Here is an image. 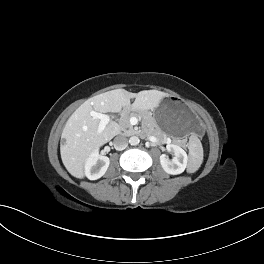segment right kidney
Here are the masks:
<instances>
[{"mask_svg":"<svg viewBox=\"0 0 264 264\" xmlns=\"http://www.w3.org/2000/svg\"><path fill=\"white\" fill-rule=\"evenodd\" d=\"M110 160L107 156L99 155L97 151L92 152L85 162V175L90 180L101 178L107 171Z\"/></svg>","mask_w":264,"mask_h":264,"instance_id":"ca27d5eb","label":"right kidney"}]
</instances>
